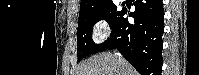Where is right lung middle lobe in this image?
Masks as SVG:
<instances>
[{
  "label": "right lung middle lobe",
  "instance_id": "1",
  "mask_svg": "<svg viewBox=\"0 0 199 75\" xmlns=\"http://www.w3.org/2000/svg\"><path fill=\"white\" fill-rule=\"evenodd\" d=\"M122 11H117L116 5L110 1L98 8H95L85 14L79 15V24L77 29V56L78 61L84 57L97 53L98 50L104 45L95 44L92 40V29L96 22L106 20L113 30Z\"/></svg>",
  "mask_w": 199,
  "mask_h": 75
}]
</instances>
